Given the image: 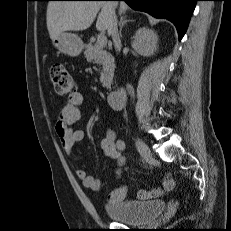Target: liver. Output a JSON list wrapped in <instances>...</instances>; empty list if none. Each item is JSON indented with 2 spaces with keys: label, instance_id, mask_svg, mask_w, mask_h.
<instances>
[{
  "label": "liver",
  "instance_id": "liver-1",
  "mask_svg": "<svg viewBox=\"0 0 231 231\" xmlns=\"http://www.w3.org/2000/svg\"><path fill=\"white\" fill-rule=\"evenodd\" d=\"M117 5L116 2L102 1H50L46 15L50 38L53 41L62 32L89 28L98 13L96 28L111 35L110 26ZM127 9V4L121 2L119 14H124Z\"/></svg>",
  "mask_w": 231,
  "mask_h": 231
}]
</instances>
